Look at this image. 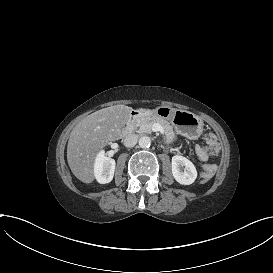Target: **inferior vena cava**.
<instances>
[{
	"label": "inferior vena cava",
	"instance_id": "inferior-vena-cava-1",
	"mask_svg": "<svg viewBox=\"0 0 273 273\" xmlns=\"http://www.w3.org/2000/svg\"><path fill=\"white\" fill-rule=\"evenodd\" d=\"M138 142V135L136 134H129L124 139V145L126 147H134Z\"/></svg>",
	"mask_w": 273,
	"mask_h": 273
}]
</instances>
